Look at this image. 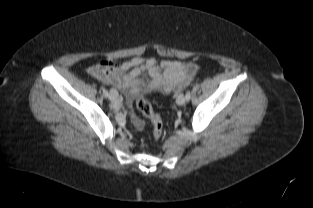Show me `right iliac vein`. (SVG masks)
Here are the masks:
<instances>
[{
	"label": "right iliac vein",
	"instance_id": "right-iliac-vein-1",
	"mask_svg": "<svg viewBox=\"0 0 313 208\" xmlns=\"http://www.w3.org/2000/svg\"><path fill=\"white\" fill-rule=\"evenodd\" d=\"M109 98L112 100L116 105L118 104V92L116 89L112 88L109 92Z\"/></svg>",
	"mask_w": 313,
	"mask_h": 208
}]
</instances>
